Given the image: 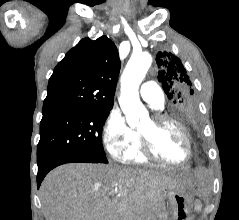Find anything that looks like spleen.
Wrapping results in <instances>:
<instances>
[{
    "instance_id": "obj_1",
    "label": "spleen",
    "mask_w": 239,
    "mask_h": 220,
    "mask_svg": "<svg viewBox=\"0 0 239 220\" xmlns=\"http://www.w3.org/2000/svg\"><path fill=\"white\" fill-rule=\"evenodd\" d=\"M195 210L198 211V212L201 210V204L199 202H196Z\"/></svg>"
}]
</instances>
